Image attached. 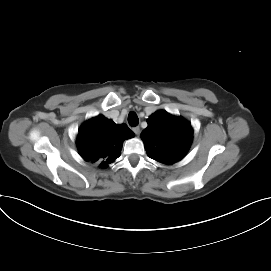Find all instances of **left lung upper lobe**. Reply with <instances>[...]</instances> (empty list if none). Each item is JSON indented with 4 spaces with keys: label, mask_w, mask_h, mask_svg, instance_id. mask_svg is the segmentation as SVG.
<instances>
[{
    "label": "left lung upper lobe",
    "mask_w": 271,
    "mask_h": 271,
    "mask_svg": "<svg viewBox=\"0 0 271 271\" xmlns=\"http://www.w3.org/2000/svg\"><path fill=\"white\" fill-rule=\"evenodd\" d=\"M147 122L148 127L141 133V138L148 156L164 164L181 160L192 142L191 125L163 110L152 114Z\"/></svg>",
    "instance_id": "obj_1"
}]
</instances>
